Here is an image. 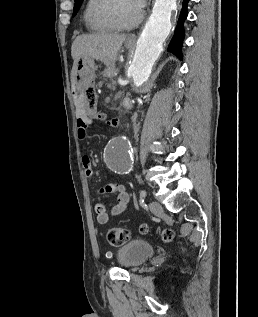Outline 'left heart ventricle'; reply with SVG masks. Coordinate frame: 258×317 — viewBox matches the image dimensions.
Returning a JSON list of instances; mask_svg holds the SVG:
<instances>
[{
  "mask_svg": "<svg viewBox=\"0 0 258 317\" xmlns=\"http://www.w3.org/2000/svg\"><path fill=\"white\" fill-rule=\"evenodd\" d=\"M136 9L129 3H122L116 11V19L120 26L130 27L136 19Z\"/></svg>",
  "mask_w": 258,
  "mask_h": 317,
  "instance_id": "1",
  "label": "left heart ventricle"
}]
</instances>
